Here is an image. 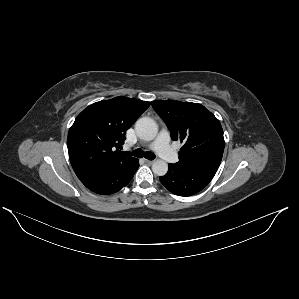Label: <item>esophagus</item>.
<instances>
[{"instance_id":"obj_1","label":"esophagus","mask_w":299,"mask_h":299,"mask_svg":"<svg viewBox=\"0 0 299 299\" xmlns=\"http://www.w3.org/2000/svg\"><path fill=\"white\" fill-rule=\"evenodd\" d=\"M145 163H147V164H152L153 163V160H148V159H145Z\"/></svg>"}]
</instances>
